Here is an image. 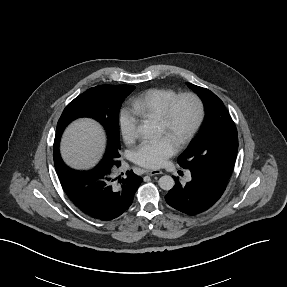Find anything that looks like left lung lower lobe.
<instances>
[{
    "instance_id": "1",
    "label": "left lung lower lobe",
    "mask_w": 287,
    "mask_h": 287,
    "mask_svg": "<svg viewBox=\"0 0 287 287\" xmlns=\"http://www.w3.org/2000/svg\"><path fill=\"white\" fill-rule=\"evenodd\" d=\"M192 180L181 184L174 178L175 186L165 196L166 202L173 208L196 215L213 206L225 191L229 179L210 170L190 169Z\"/></svg>"
}]
</instances>
